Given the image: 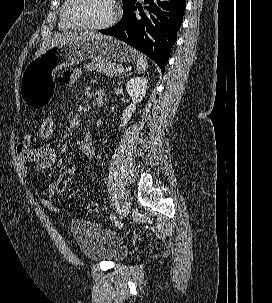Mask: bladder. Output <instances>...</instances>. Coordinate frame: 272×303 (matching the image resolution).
<instances>
[{
  "mask_svg": "<svg viewBox=\"0 0 272 303\" xmlns=\"http://www.w3.org/2000/svg\"><path fill=\"white\" fill-rule=\"evenodd\" d=\"M69 229L78 249L88 260L119 262L127 255L125 243L106 226L75 218L69 222Z\"/></svg>",
  "mask_w": 272,
  "mask_h": 303,
  "instance_id": "bladder-1",
  "label": "bladder"
}]
</instances>
